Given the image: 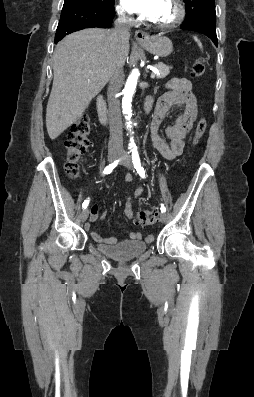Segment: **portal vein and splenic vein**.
I'll return each mask as SVG.
<instances>
[{
  "label": "portal vein and splenic vein",
  "mask_w": 254,
  "mask_h": 397,
  "mask_svg": "<svg viewBox=\"0 0 254 397\" xmlns=\"http://www.w3.org/2000/svg\"><path fill=\"white\" fill-rule=\"evenodd\" d=\"M157 74H159V71L157 69H154L151 74V78L153 79Z\"/></svg>",
  "instance_id": "obj_1"
}]
</instances>
